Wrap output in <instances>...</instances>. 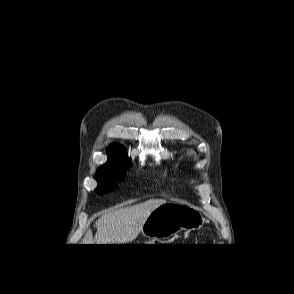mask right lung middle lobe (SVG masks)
<instances>
[{"instance_id":"1","label":"right lung middle lobe","mask_w":294,"mask_h":294,"mask_svg":"<svg viewBox=\"0 0 294 294\" xmlns=\"http://www.w3.org/2000/svg\"><path fill=\"white\" fill-rule=\"evenodd\" d=\"M130 162H113L109 161L102 165L96 172L98 193H107L115 188L116 184L123 180L127 175V169Z\"/></svg>"}]
</instances>
